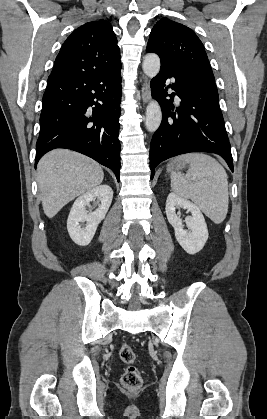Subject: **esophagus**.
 Returning <instances> with one entry per match:
<instances>
[{
	"label": "esophagus",
	"instance_id": "esophagus-1",
	"mask_svg": "<svg viewBox=\"0 0 267 419\" xmlns=\"http://www.w3.org/2000/svg\"><path fill=\"white\" fill-rule=\"evenodd\" d=\"M142 100L144 103H147L150 100V87H149V83H148V79H145L142 85Z\"/></svg>",
	"mask_w": 267,
	"mask_h": 419
}]
</instances>
